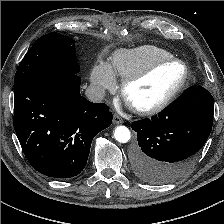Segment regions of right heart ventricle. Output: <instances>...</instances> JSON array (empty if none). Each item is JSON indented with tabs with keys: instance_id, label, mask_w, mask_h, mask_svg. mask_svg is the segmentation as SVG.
Listing matches in <instances>:
<instances>
[{
	"instance_id": "right-heart-ventricle-1",
	"label": "right heart ventricle",
	"mask_w": 224,
	"mask_h": 224,
	"mask_svg": "<svg viewBox=\"0 0 224 224\" xmlns=\"http://www.w3.org/2000/svg\"><path fill=\"white\" fill-rule=\"evenodd\" d=\"M172 57V54L155 45H142L132 49H120L114 52L110 67L116 76L125 79L151 64Z\"/></svg>"
}]
</instances>
